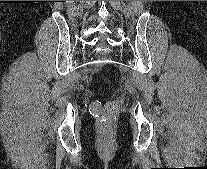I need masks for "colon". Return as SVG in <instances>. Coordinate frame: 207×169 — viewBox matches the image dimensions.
Here are the masks:
<instances>
[{"label":"colon","instance_id":"colon-1","mask_svg":"<svg viewBox=\"0 0 207 169\" xmlns=\"http://www.w3.org/2000/svg\"><path fill=\"white\" fill-rule=\"evenodd\" d=\"M120 103L118 99L107 102L103 109V114L106 118L112 117L119 109Z\"/></svg>","mask_w":207,"mask_h":169}]
</instances>
